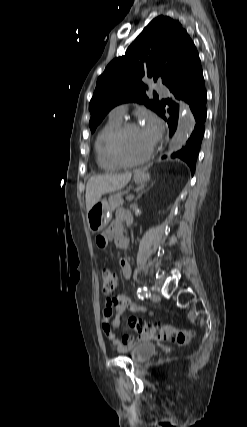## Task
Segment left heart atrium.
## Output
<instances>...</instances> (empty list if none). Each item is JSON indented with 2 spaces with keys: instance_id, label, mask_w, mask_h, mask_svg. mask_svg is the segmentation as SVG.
<instances>
[{
  "instance_id": "left-heart-atrium-1",
  "label": "left heart atrium",
  "mask_w": 247,
  "mask_h": 427,
  "mask_svg": "<svg viewBox=\"0 0 247 427\" xmlns=\"http://www.w3.org/2000/svg\"><path fill=\"white\" fill-rule=\"evenodd\" d=\"M142 129L154 144L162 133V124L156 117L148 116Z\"/></svg>"
}]
</instances>
